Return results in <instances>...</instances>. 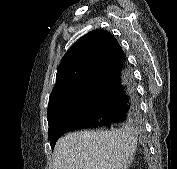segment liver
I'll list each match as a JSON object with an SVG mask.
<instances>
[{"label": "liver", "mask_w": 177, "mask_h": 169, "mask_svg": "<svg viewBox=\"0 0 177 169\" xmlns=\"http://www.w3.org/2000/svg\"><path fill=\"white\" fill-rule=\"evenodd\" d=\"M136 145L129 127L69 133L55 145L53 169H127Z\"/></svg>", "instance_id": "1"}]
</instances>
